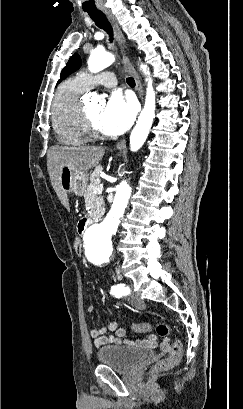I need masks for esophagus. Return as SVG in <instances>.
Instances as JSON below:
<instances>
[{
  "label": "esophagus",
  "instance_id": "obj_1",
  "mask_svg": "<svg viewBox=\"0 0 243 409\" xmlns=\"http://www.w3.org/2000/svg\"><path fill=\"white\" fill-rule=\"evenodd\" d=\"M104 14L106 15V17L108 18V20L111 22V24L114 27L115 33H116V37H117V41L121 50V54H122V60H123V64L126 68V70L132 75V77L135 80L136 83V91L137 94L139 96V99L141 100V102L143 101V89H142V84H141V80L140 77L138 75V73L136 72V70L134 69L132 63L130 62L129 57L127 56L126 52H125V39L124 36L120 30V28L118 27L117 23L115 22L112 14L104 9L103 10ZM126 146V141L125 139L120 140L117 145L116 148L121 150Z\"/></svg>",
  "mask_w": 243,
  "mask_h": 409
}]
</instances>
